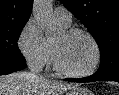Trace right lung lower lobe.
<instances>
[{"mask_svg":"<svg viewBox=\"0 0 119 95\" xmlns=\"http://www.w3.org/2000/svg\"><path fill=\"white\" fill-rule=\"evenodd\" d=\"M25 67L26 63L0 62V75L10 74Z\"/></svg>","mask_w":119,"mask_h":95,"instance_id":"obj_1","label":"right lung lower lobe"}]
</instances>
